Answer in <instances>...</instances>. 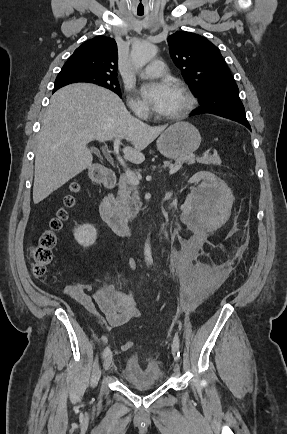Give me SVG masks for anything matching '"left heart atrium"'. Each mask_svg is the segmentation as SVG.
Returning a JSON list of instances; mask_svg holds the SVG:
<instances>
[{
	"mask_svg": "<svg viewBox=\"0 0 287 434\" xmlns=\"http://www.w3.org/2000/svg\"><path fill=\"white\" fill-rule=\"evenodd\" d=\"M175 87L168 82H156L145 84L141 88L143 97L159 113H163L169 106Z\"/></svg>",
	"mask_w": 287,
	"mask_h": 434,
	"instance_id": "obj_1",
	"label": "left heart atrium"
}]
</instances>
